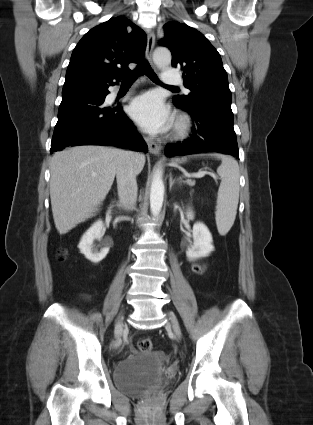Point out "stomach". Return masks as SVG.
Returning a JSON list of instances; mask_svg holds the SVG:
<instances>
[{"label": "stomach", "instance_id": "0dacf381", "mask_svg": "<svg viewBox=\"0 0 313 425\" xmlns=\"http://www.w3.org/2000/svg\"><path fill=\"white\" fill-rule=\"evenodd\" d=\"M185 161H186V159H185V158L175 159V160H174V162H175V163H178V164L184 163Z\"/></svg>", "mask_w": 313, "mask_h": 425}]
</instances>
